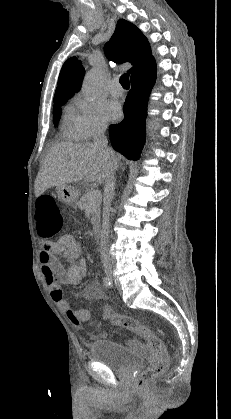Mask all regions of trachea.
<instances>
[{
  "label": "trachea",
  "instance_id": "3493384b",
  "mask_svg": "<svg viewBox=\"0 0 231 419\" xmlns=\"http://www.w3.org/2000/svg\"><path fill=\"white\" fill-rule=\"evenodd\" d=\"M120 84H121L123 87H125V88H128V87L130 86V84H129V75H128V74H123V75L120 77Z\"/></svg>",
  "mask_w": 231,
  "mask_h": 419
}]
</instances>
